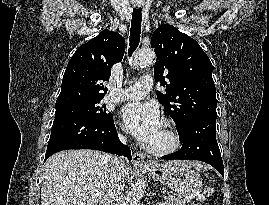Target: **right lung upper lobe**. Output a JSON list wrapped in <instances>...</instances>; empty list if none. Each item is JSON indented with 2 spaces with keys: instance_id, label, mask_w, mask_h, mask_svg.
I'll return each instance as SVG.
<instances>
[{
  "instance_id": "right-lung-upper-lobe-1",
  "label": "right lung upper lobe",
  "mask_w": 269,
  "mask_h": 205,
  "mask_svg": "<svg viewBox=\"0 0 269 205\" xmlns=\"http://www.w3.org/2000/svg\"><path fill=\"white\" fill-rule=\"evenodd\" d=\"M124 51V38L107 29L81 45L66 67L55 107L101 100L107 92L102 82L109 81L111 68Z\"/></svg>"
}]
</instances>
